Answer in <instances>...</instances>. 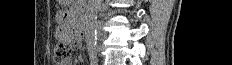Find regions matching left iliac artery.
<instances>
[{
    "label": "left iliac artery",
    "mask_w": 232,
    "mask_h": 65,
    "mask_svg": "<svg viewBox=\"0 0 232 65\" xmlns=\"http://www.w3.org/2000/svg\"><path fill=\"white\" fill-rule=\"evenodd\" d=\"M91 65H98V59L96 56H92L91 58Z\"/></svg>",
    "instance_id": "1"
}]
</instances>
